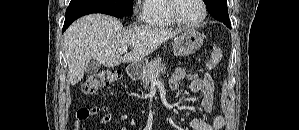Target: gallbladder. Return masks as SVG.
Returning a JSON list of instances; mask_svg holds the SVG:
<instances>
[{
    "mask_svg": "<svg viewBox=\"0 0 299 130\" xmlns=\"http://www.w3.org/2000/svg\"><path fill=\"white\" fill-rule=\"evenodd\" d=\"M101 68V63L98 62L97 60H90V62L87 64L86 68H85V72L88 75H93L96 74Z\"/></svg>",
    "mask_w": 299,
    "mask_h": 130,
    "instance_id": "1",
    "label": "gallbladder"
}]
</instances>
